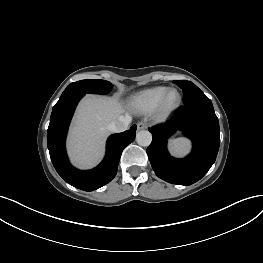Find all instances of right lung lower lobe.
<instances>
[{
	"label": "right lung lower lobe",
	"mask_w": 263,
	"mask_h": 263,
	"mask_svg": "<svg viewBox=\"0 0 263 263\" xmlns=\"http://www.w3.org/2000/svg\"><path fill=\"white\" fill-rule=\"evenodd\" d=\"M83 93L68 95L54 105L47 131V144L51 161L58 174L70 185L85 191L96 190L110 182L117 173L123 149L134 141L136 125L130 130L113 134L107 140L106 155L94 169L81 171L68 160L65 139L71 117Z\"/></svg>",
	"instance_id": "right-lung-lower-lobe-1"
}]
</instances>
